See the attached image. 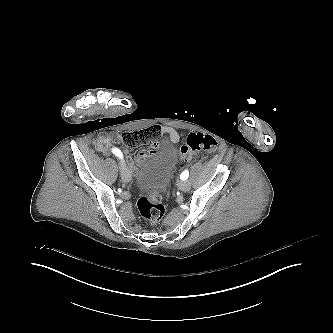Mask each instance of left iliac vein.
<instances>
[{"mask_svg":"<svg viewBox=\"0 0 333 333\" xmlns=\"http://www.w3.org/2000/svg\"><path fill=\"white\" fill-rule=\"evenodd\" d=\"M178 186L182 191H188L190 189V182L189 181H180L178 183Z\"/></svg>","mask_w":333,"mask_h":333,"instance_id":"left-iliac-vein-1","label":"left iliac vein"}]
</instances>
